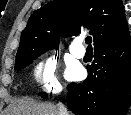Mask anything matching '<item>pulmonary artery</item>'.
I'll return each instance as SVG.
<instances>
[{"mask_svg":"<svg viewBox=\"0 0 131 115\" xmlns=\"http://www.w3.org/2000/svg\"><path fill=\"white\" fill-rule=\"evenodd\" d=\"M70 53L76 58H83L85 55V50L81 45V40H74L70 45Z\"/></svg>","mask_w":131,"mask_h":115,"instance_id":"obj_1","label":"pulmonary artery"}]
</instances>
